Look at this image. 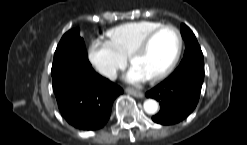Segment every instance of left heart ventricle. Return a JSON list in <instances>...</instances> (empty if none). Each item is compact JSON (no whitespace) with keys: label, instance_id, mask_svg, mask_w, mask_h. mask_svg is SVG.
I'll return each instance as SVG.
<instances>
[{"label":"left heart ventricle","instance_id":"obj_1","mask_svg":"<svg viewBox=\"0 0 247 145\" xmlns=\"http://www.w3.org/2000/svg\"><path fill=\"white\" fill-rule=\"evenodd\" d=\"M177 49V37L170 29L159 32L148 48L133 60V66L149 78L163 70L173 59Z\"/></svg>","mask_w":247,"mask_h":145}]
</instances>
